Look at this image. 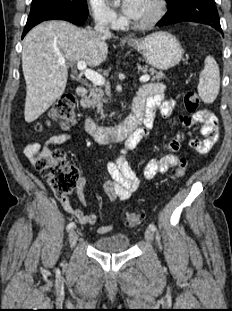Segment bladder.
<instances>
[{
	"instance_id": "obj_1",
	"label": "bladder",
	"mask_w": 232,
	"mask_h": 311,
	"mask_svg": "<svg viewBox=\"0 0 232 311\" xmlns=\"http://www.w3.org/2000/svg\"><path fill=\"white\" fill-rule=\"evenodd\" d=\"M129 237L124 233H113L98 237L94 242V248L100 252L119 253L129 248Z\"/></svg>"
}]
</instances>
